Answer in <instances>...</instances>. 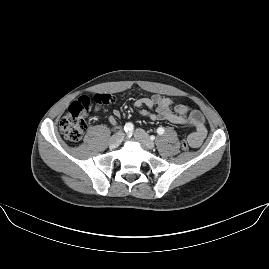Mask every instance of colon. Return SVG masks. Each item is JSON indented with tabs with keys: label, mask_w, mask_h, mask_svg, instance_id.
I'll return each instance as SVG.
<instances>
[{
	"label": "colon",
	"mask_w": 269,
	"mask_h": 269,
	"mask_svg": "<svg viewBox=\"0 0 269 269\" xmlns=\"http://www.w3.org/2000/svg\"><path fill=\"white\" fill-rule=\"evenodd\" d=\"M93 100L94 107H90ZM111 103L110 95H94V98L82 95L70 106L67 113L60 121L59 129L61 134L69 141L77 142L83 139L88 129V116L94 113L102 105ZM187 138L181 139V147L184 152L188 149Z\"/></svg>",
	"instance_id": "obj_1"
}]
</instances>
